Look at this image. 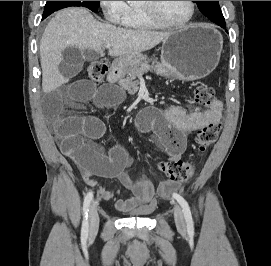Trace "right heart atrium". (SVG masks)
I'll return each mask as SVG.
<instances>
[{
  "instance_id": "1",
  "label": "right heart atrium",
  "mask_w": 271,
  "mask_h": 266,
  "mask_svg": "<svg viewBox=\"0 0 271 266\" xmlns=\"http://www.w3.org/2000/svg\"><path fill=\"white\" fill-rule=\"evenodd\" d=\"M99 3L108 22L123 23L128 8L125 1H99Z\"/></svg>"
}]
</instances>
